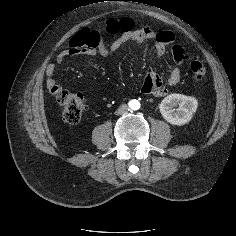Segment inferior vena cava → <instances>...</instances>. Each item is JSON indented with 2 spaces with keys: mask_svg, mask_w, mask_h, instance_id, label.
<instances>
[{
  "mask_svg": "<svg viewBox=\"0 0 236 236\" xmlns=\"http://www.w3.org/2000/svg\"><path fill=\"white\" fill-rule=\"evenodd\" d=\"M128 109V106L126 104H122L115 112V114L120 115L124 114Z\"/></svg>",
  "mask_w": 236,
  "mask_h": 236,
  "instance_id": "inferior-vena-cava-1",
  "label": "inferior vena cava"
}]
</instances>
